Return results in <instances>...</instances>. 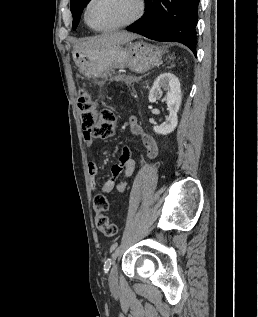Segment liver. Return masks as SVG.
Instances as JSON below:
<instances>
[{
  "label": "liver",
  "instance_id": "liver-1",
  "mask_svg": "<svg viewBox=\"0 0 258 317\" xmlns=\"http://www.w3.org/2000/svg\"><path fill=\"white\" fill-rule=\"evenodd\" d=\"M137 38V34L120 30V32H103L98 36H90V38H78L73 44V50H94V48H102V46H112V44H125L129 40Z\"/></svg>",
  "mask_w": 258,
  "mask_h": 317
}]
</instances>
